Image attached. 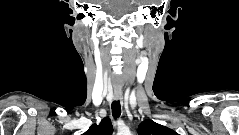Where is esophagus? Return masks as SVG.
<instances>
[{
	"label": "esophagus",
	"instance_id": "obj_1",
	"mask_svg": "<svg viewBox=\"0 0 239 135\" xmlns=\"http://www.w3.org/2000/svg\"><path fill=\"white\" fill-rule=\"evenodd\" d=\"M114 98L116 99V100H121V94H119V93H115L114 94Z\"/></svg>",
	"mask_w": 239,
	"mask_h": 135
}]
</instances>
